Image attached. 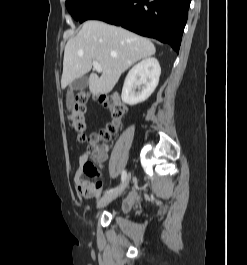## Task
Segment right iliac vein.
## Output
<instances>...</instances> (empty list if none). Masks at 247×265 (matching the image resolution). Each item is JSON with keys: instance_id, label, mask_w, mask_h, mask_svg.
Listing matches in <instances>:
<instances>
[{"instance_id": "obj_1", "label": "right iliac vein", "mask_w": 247, "mask_h": 265, "mask_svg": "<svg viewBox=\"0 0 247 265\" xmlns=\"http://www.w3.org/2000/svg\"><path fill=\"white\" fill-rule=\"evenodd\" d=\"M129 180H130V175H128V177L125 179V181L122 183V185L118 189L103 196L98 201L97 208H102L108 205L113 200H115L117 197H119L123 193V191L126 189V187L128 186Z\"/></svg>"}]
</instances>
